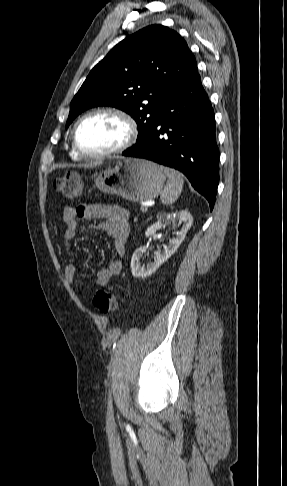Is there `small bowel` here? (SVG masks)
Listing matches in <instances>:
<instances>
[{
    "label": "small bowel",
    "instance_id": "obj_1",
    "mask_svg": "<svg viewBox=\"0 0 287 486\" xmlns=\"http://www.w3.org/2000/svg\"><path fill=\"white\" fill-rule=\"evenodd\" d=\"M82 220L99 221L98 224L92 227L104 230L112 237L114 250L118 257L125 255L126 243L130 235L129 214L121 207L101 204L66 207L63 211V221L66 226L63 236V248L67 258L64 274L66 281L72 288L80 287L75 278L76 267L72 259V241L80 230L89 228L80 224ZM121 269L122 263L119 259L110 261L106 267L98 269L94 285L106 286L114 276L121 272Z\"/></svg>",
    "mask_w": 287,
    "mask_h": 486
}]
</instances>
